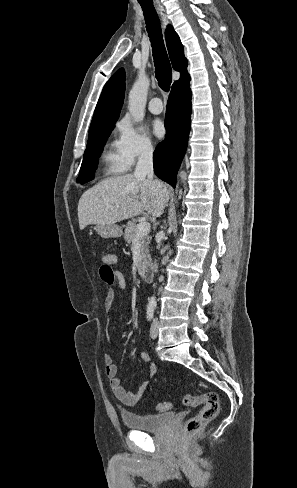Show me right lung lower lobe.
I'll use <instances>...</instances> for the list:
<instances>
[{
    "mask_svg": "<svg viewBox=\"0 0 297 488\" xmlns=\"http://www.w3.org/2000/svg\"><path fill=\"white\" fill-rule=\"evenodd\" d=\"M191 90L190 77L175 82L166 108V137L154 151L155 174L173 188L184 157L190 131Z\"/></svg>",
    "mask_w": 297,
    "mask_h": 488,
    "instance_id": "right-lung-lower-lobe-1",
    "label": "right lung lower lobe"
}]
</instances>
